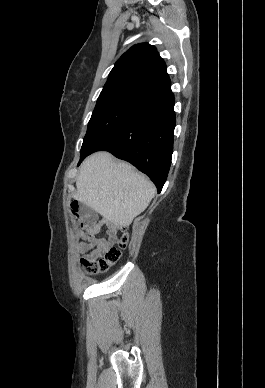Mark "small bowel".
Wrapping results in <instances>:
<instances>
[{
	"mask_svg": "<svg viewBox=\"0 0 265 388\" xmlns=\"http://www.w3.org/2000/svg\"><path fill=\"white\" fill-rule=\"evenodd\" d=\"M103 224L106 226L108 238L97 236ZM83 226L87 233L84 235L85 242L79 244L78 250L85 253L84 259L95 261L110 248L112 240L116 238L117 226L110 219L98 222L92 213L84 217Z\"/></svg>",
	"mask_w": 265,
	"mask_h": 388,
	"instance_id": "small-bowel-1",
	"label": "small bowel"
}]
</instances>
